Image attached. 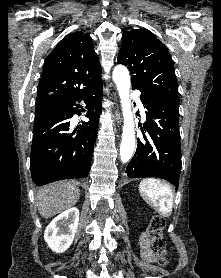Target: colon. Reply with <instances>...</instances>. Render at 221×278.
I'll return each mask as SVG.
<instances>
[{"label": "colon", "instance_id": "colon-1", "mask_svg": "<svg viewBox=\"0 0 221 278\" xmlns=\"http://www.w3.org/2000/svg\"><path fill=\"white\" fill-rule=\"evenodd\" d=\"M165 221L161 216H154L148 227V238L150 239V251L161 266L168 265L166 255V243L163 237Z\"/></svg>", "mask_w": 221, "mask_h": 278}]
</instances>
